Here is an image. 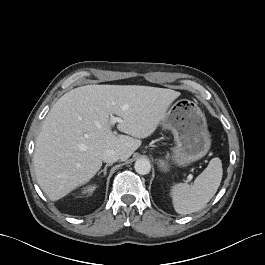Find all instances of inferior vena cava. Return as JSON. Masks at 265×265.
I'll use <instances>...</instances> for the list:
<instances>
[{"label": "inferior vena cava", "mask_w": 265, "mask_h": 265, "mask_svg": "<svg viewBox=\"0 0 265 265\" xmlns=\"http://www.w3.org/2000/svg\"><path fill=\"white\" fill-rule=\"evenodd\" d=\"M120 159L119 154L115 150H106L102 154V160L106 163L112 164Z\"/></svg>", "instance_id": "inferior-vena-cava-1"}]
</instances>
